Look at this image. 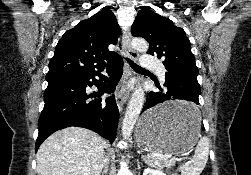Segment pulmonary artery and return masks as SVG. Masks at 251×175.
<instances>
[{
    "mask_svg": "<svg viewBox=\"0 0 251 175\" xmlns=\"http://www.w3.org/2000/svg\"><path fill=\"white\" fill-rule=\"evenodd\" d=\"M140 63H142L145 70H156V75H159L162 80L166 79L165 65L159 62V58H153L152 55L143 53L140 55Z\"/></svg>",
    "mask_w": 251,
    "mask_h": 175,
    "instance_id": "1",
    "label": "pulmonary artery"
}]
</instances>
